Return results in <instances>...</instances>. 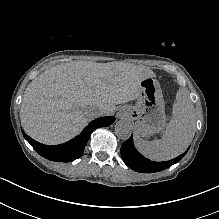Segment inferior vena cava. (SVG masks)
I'll list each match as a JSON object with an SVG mask.
<instances>
[{"mask_svg": "<svg viewBox=\"0 0 219 219\" xmlns=\"http://www.w3.org/2000/svg\"><path fill=\"white\" fill-rule=\"evenodd\" d=\"M89 112L92 117L98 118L103 115L104 109L101 104L95 103L90 106Z\"/></svg>", "mask_w": 219, "mask_h": 219, "instance_id": "obj_1", "label": "inferior vena cava"}]
</instances>
